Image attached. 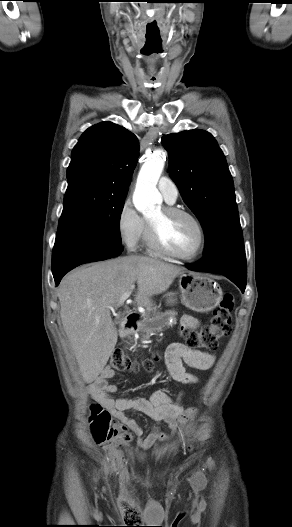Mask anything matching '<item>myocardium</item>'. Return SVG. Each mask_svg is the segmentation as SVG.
I'll return each mask as SVG.
<instances>
[{
  "instance_id": "f54148a6",
  "label": "myocardium",
  "mask_w": 292,
  "mask_h": 527,
  "mask_svg": "<svg viewBox=\"0 0 292 527\" xmlns=\"http://www.w3.org/2000/svg\"><path fill=\"white\" fill-rule=\"evenodd\" d=\"M162 210L166 216L182 215V216H186L189 219H191L198 229V233H199L198 245L192 253L187 254V255H182V254H178V253L171 251L163 244L161 237H160L158 227L148 219L147 220V236H148L149 246L154 251H156L157 253L161 255H164L166 257H170L176 260H180V261H192L196 259L197 257H199L204 252L205 247H206V241H207L206 230L201 220L194 213L184 208L167 205V206H163Z\"/></svg>"
}]
</instances>
